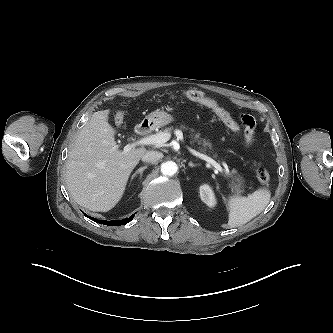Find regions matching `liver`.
Here are the masks:
<instances>
[{"instance_id": "1", "label": "liver", "mask_w": 333, "mask_h": 333, "mask_svg": "<svg viewBox=\"0 0 333 333\" xmlns=\"http://www.w3.org/2000/svg\"><path fill=\"white\" fill-rule=\"evenodd\" d=\"M110 110L97 111L76 136L66 162L67 189L80 206L107 212L122 198L129 176L146 149L119 150Z\"/></svg>"}]
</instances>
